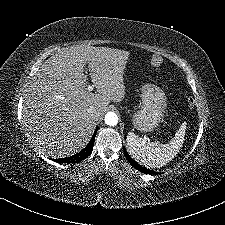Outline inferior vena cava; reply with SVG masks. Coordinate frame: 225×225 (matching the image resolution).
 I'll return each instance as SVG.
<instances>
[{"mask_svg":"<svg viewBox=\"0 0 225 225\" xmlns=\"http://www.w3.org/2000/svg\"><path fill=\"white\" fill-rule=\"evenodd\" d=\"M90 115L93 119L97 118V112H95V111L90 112Z\"/></svg>","mask_w":225,"mask_h":225,"instance_id":"inferior-vena-cava-1","label":"inferior vena cava"}]
</instances>
